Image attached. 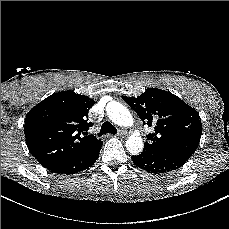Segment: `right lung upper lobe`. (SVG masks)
Segmentation results:
<instances>
[{"label": "right lung upper lobe", "mask_w": 229, "mask_h": 229, "mask_svg": "<svg viewBox=\"0 0 229 229\" xmlns=\"http://www.w3.org/2000/svg\"><path fill=\"white\" fill-rule=\"evenodd\" d=\"M95 104L73 91L54 93L26 115L24 134L30 153L45 166L54 165L94 147L101 140L87 131L88 111Z\"/></svg>", "instance_id": "1"}]
</instances>
